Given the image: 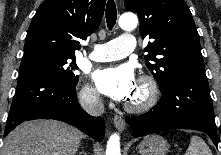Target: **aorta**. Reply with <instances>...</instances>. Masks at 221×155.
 I'll list each match as a JSON object with an SVG mask.
<instances>
[{
	"label": "aorta",
	"mask_w": 221,
	"mask_h": 155,
	"mask_svg": "<svg viewBox=\"0 0 221 155\" xmlns=\"http://www.w3.org/2000/svg\"><path fill=\"white\" fill-rule=\"evenodd\" d=\"M137 24L138 19L133 14H124L119 18V26L125 31L135 29ZM120 151V137L114 133L107 142L106 155H121Z\"/></svg>",
	"instance_id": "762f6f07"
}]
</instances>
